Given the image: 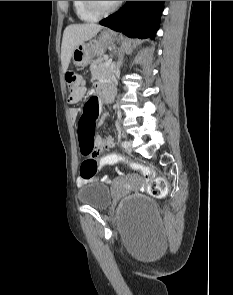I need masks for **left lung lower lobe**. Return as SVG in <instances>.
Returning a JSON list of instances; mask_svg holds the SVG:
<instances>
[{"label": "left lung lower lobe", "mask_w": 233, "mask_h": 295, "mask_svg": "<svg viewBox=\"0 0 233 295\" xmlns=\"http://www.w3.org/2000/svg\"><path fill=\"white\" fill-rule=\"evenodd\" d=\"M163 3L164 1H127L119 11L100 21V24L129 37L153 39Z\"/></svg>", "instance_id": "left-lung-lower-lobe-1"}]
</instances>
